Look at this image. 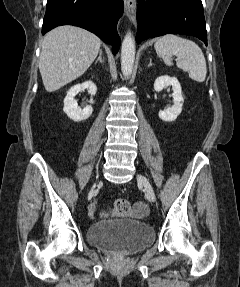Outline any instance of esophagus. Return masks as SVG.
Here are the masks:
<instances>
[{
	"instance_id": "esophagus-1",
	"label": "esophagus",
	"mask_w": 240,
	"mask_h": 287,
	"mask_svg": "<svg viewBox=\"0 0 240 287\" xmlns=\"http://www.w3.org/2000/svg\"><path fill=\"white\" fill-rule=\"evenodd\" d=\"M124 9L126 15L136 24V1L124 0Z\"/></svg>"
}]
</instances>
